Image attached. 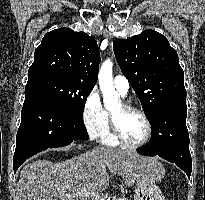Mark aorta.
Listing matches in <instances>:
<instances>
[{"label": "aorta", "instance_id": "1", "mask_svg": "<svg viewBox=\"0 0 205 200\" xmlns=\"http://www.w3.org/2000/svg\"><path fill=\"white\" fill-rule=\"evenodd\" d=\"M112 68V61L107 59L103 62L99 71V85L103 94V103L107 109L120 104L119 95L113 84Z\"/></svg>", "mask_w": 205, "mask_h": 200}]
</instances>
